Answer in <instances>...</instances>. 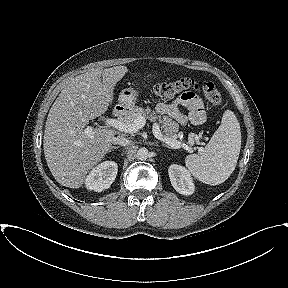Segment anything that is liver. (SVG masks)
Here are the masks:
<instances>
[{
    "mask_svg": "<svg viewBox=\"0 0 288 288\" xmlns=\"http://www.w3.org/2000/svg\"><path fill=\"white\" fill-rule=\"evenodd\" d=\"M128 72L126 66L92 69L72 78L52 105L44 132V155L55 180L80 188L88 172L109 152L116 131L92 128L89 120L104 114L113 91ZM102 76V80H101Z\"/></svg>",
    "mask_w": 288,
    "mask_h": 288,
    "instance_id": "liver-1",
    "label": "liver"
}]
</instances>
